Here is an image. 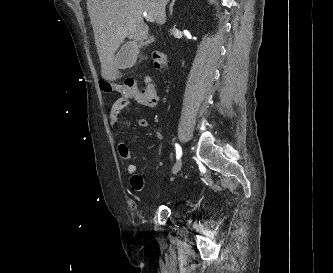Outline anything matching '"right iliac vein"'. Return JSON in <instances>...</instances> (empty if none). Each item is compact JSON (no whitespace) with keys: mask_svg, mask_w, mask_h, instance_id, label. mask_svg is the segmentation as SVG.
Here are the masks:
<instances>
[{"mask_svg":"<svg viewBox=\"0 0 333 273\" xmlns=\"http://www.w3.org/2000/svg\"><path fill=\"white\" fill-rule=\"evenodd\" d=\"M181 167H182V161H181V159H179L176 162L175 166L173 167L172 173L177 174L180 171Z\"/></svg>","mask_w":333,"mask_h":273,"instance_id":"1","label":"right iliac vein"}]
</instances>
